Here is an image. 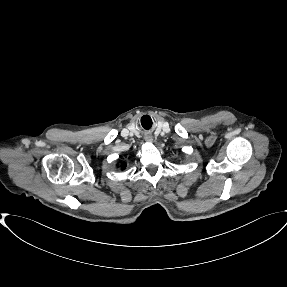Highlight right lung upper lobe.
I'll list each match as a JSON object with an SVG mask.
<instances>
[{
    "label": "right lung upper lobe",
    "instance_id": "cb5924a9",
    "mask_svg": "<svg viewBox=\"0 0 287 287\" xmlns=\"http://www.w3.org/2000/svg\"><path fill=\"white\" fill-rule=\"evenodd\" d=\"M125 167H126V164H125V163H122V164H121V169H125Z\"/></svg>",
    "mask_w": 287,
    "mask_h": 287
}]
</instances>
